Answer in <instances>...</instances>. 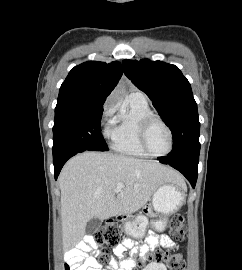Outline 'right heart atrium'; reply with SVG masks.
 <instances>
[{
  "label": "right heart atrium",
  "instance_id": "1",
  "mask_svg": "<svg viewBox=\"0 0 242 270\" xmlns=\"http://www.w3.org/2000/svg\"><path fill=\"white\" fill-rule=\"evenodd\" d=\"M116 107H117L116 103L113 100H110L105 106L104 117H105L106 123L108 125L112 124V122H113L114 118H112V116L116 110Z\"/></svg>",
  "mask_w": 242,
  "mask_h": 270
}]
</instances>
